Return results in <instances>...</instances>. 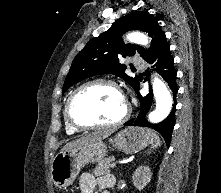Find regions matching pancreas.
I'll list each match as a JSON object with an SVG mask.
<instances>
[{
    "mask_svg": "<svg viewBox=\"0 0 221 193\" xmlns=\"http://www.w3.org/2000/svg\"><path fill=\"white\" fill-rule=\"evenodd\" d=\"M112 161H114V158L112 157L105 158L102 161H100L93 171L94 175L98 177L105 174H109Z\"/></svg>",
    "mask_w": 221,
    "mask_h": 193,
    "instance_id": "pancreas-1",
    "label": "pancreas"
}]
</instances>
